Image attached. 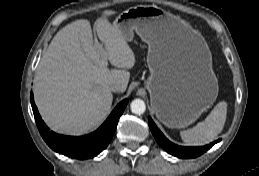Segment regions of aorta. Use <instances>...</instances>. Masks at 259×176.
Returning <instances> with one entry per match:
<instances>
[{"mask_svg":"<svg viewBox=\"0 0 259 176\" xmlns=\"http://www.w3.org/2000/svg\"><path fill=\"white\" fill-rule=\"evenodd\" d=\"M131 112L137 115H142L146 110L145 102L141 99H135L130 104Z\"/></svg>","mask_w":259,"mask_h":176,"instance_id":"762f6f07","label":"aorta"}]
</instances>
